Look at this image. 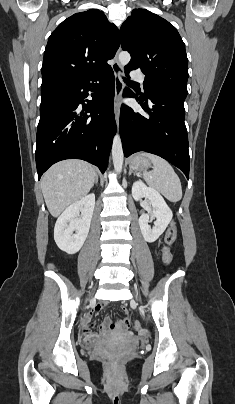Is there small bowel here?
Returning a JSON list of instances; mask_svg holds the SVG:
<instances>
[{
  "label": "small bowel",
  "mask_w": 235,
  "mask_h": 404,
  "mask_svg": "<svg viewBox=\"0 0 235 404\" xmlns=\"http://www.w3.org/2000/svg\"><path fill=\"white\" fill-rule=\"evenodd\" d=\"M105 307V303H99L97 304L95 307L91 308L86 316L84 317V335L87 337H94V324L89 323L88 321L90 320L91 316L95 313V312H100L104 309ZM110 326V319L109 317H106L104 324L101 327V333L103 334H108V333H113L116 331L117 327H109Z\"/></svg>",
  "instance_id": "c3829d8e"
}]
</instances>
